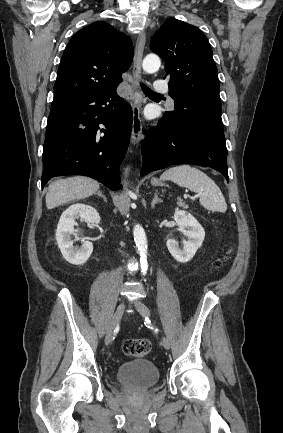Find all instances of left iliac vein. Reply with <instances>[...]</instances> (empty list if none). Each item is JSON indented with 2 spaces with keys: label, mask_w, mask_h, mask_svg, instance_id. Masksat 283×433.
Here are the masks:
<instances>
[{
  "label": "left iliac vein",
  "mask_w": 283,
  "mask_h": 433,
  "mask_svg": "<svg viewBox=\"0 0 283 433\" xmlns=\"http://www.w3.org/2000/svg\"><path fill=\"white\" fill-rule=\"evenodd\" d=\"M135 307L143 317H147L150 315L149 308L143 302L139 300L136 301ZM162 345L167 350L170 348V341L168 340L167 337L162 338Z\"/></svg>",
  "instance_id": "left-iliac-vein-1"
}]
</instances>
